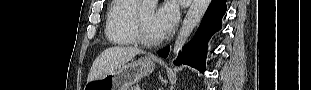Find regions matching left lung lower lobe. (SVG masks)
I'll list each match as a JSON object with an SVG mask.
<instances>
[{"label": "left lung lower lobe", "mask_w": 311, "mask_h": 90, "mask_svg": "<svg viewBox=\"0 0 311 90\" xmlns=\"http://www.w3.org/2000/svg\"><path fill=\"white\" fill-rule=\"evenodd\" d=\"M226 13V0H212L205 16L198 28L194 38L183 47L182 52L174 61V64H186L196 68L200 72H204L205 60L207 56V42L210 37L222 27L221 19ZM170 47H166L158 54L166 58L168 56Z\"/></svg>", "instance_id": "1"}]
</instances>
